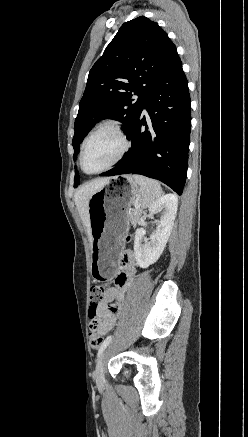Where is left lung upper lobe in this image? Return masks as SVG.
Instances as JSON below:
<instances>
[{
  "instance_id": "left-lung-upper-lobe-1",
  "label": "left lung upper lobe",
  "mask_w": 248,
  "mask_h": 437,
  "mask_svg": "<svg viewBox=\"0 0 248 437\" xmlns=\"http://www.w3.org/2000/svg\"><path fill=\"white\" fill-rule=\"evenodd\" d=\"M177 57L175 45L156 22L144 16L125 22L89 72L75 119L74 160L81 141L99 120L122 122L127 136L146 95ZM78 184L76 172L74 187Z\"/></svg>"
}]
</instances>
